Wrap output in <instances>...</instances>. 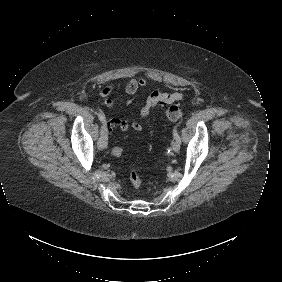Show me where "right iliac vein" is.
<instances>
[{"instance_id": "1", "label": "right iliac vein", "mask_w": 282, "mask_h": 282, "mask_svg": "<svg viewBox=\"0 0 282 282\" xmlns=\"http://www.w3.org/2000/svg\"><path fill=\"white\" fill-rule=\"evenodd\" d=\"M108 144V136L106 131V126H101L100 138H99V146L101 149H106Z\"/></svg>"}]
</instances>
